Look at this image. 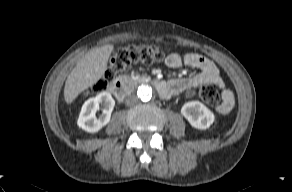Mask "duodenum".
<instances>
[{
	"instance_id": "duodenum-1",
	"label": "duodenum",
	"mask_w": 292,
	"mask_h": 192,
	"mask_svg": "<svg viewBox=\"0 0 292 192\" xmlns=\"http://www.w3.org/2000/svg\"><path fill=\"white\" fill-rule=\"evenodd\" d=\"M152 84L157 89L158 93L162 97H167L170 93L169 84L162 80H154ZM132 87V80L126 77H122L117 79L111 85V92L112 94L119 100L122 101L130 92Z\"/></svg>"
}]
</instances>
